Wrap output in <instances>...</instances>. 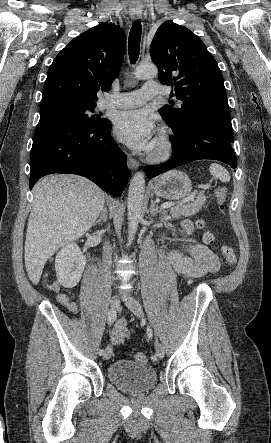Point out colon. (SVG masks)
Wrapping results in <instances>:
<instances>
[{
	"instance_id": "5ec220e1",
	"label": "colon",
	"mask_w": 271,
	"mask_h": 443,
	"mask_svg": "<svg viewBox=\"0 0 271 443\" xmlns=\"http://www.w3.org/2000/svg\"><path fill=\"white\" fill-rule=\"evenodd\" d=\"M216 202L218 204L219 209L223 212L224 211V204L227 199V191L224 187H218L214 192ZM204 240L206 243H212L214 241V236L210 232H206L204 234ZM222 255L225 259V261L229 265H235L237 262V258L235 255V252L233 248L229 245H224L221 249ZM134 359L139 363H146L148 361V357L146 354L138 352L134 354Z\"/></svg>"
}]
</instances>
